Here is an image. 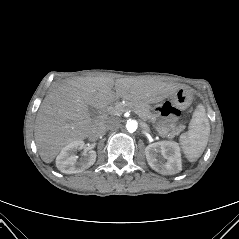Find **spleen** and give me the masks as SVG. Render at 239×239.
<instances>
[{
    "mask_svg": "<svg viewBox=\"0 0 239 239\" xmlns=\"http://www.w3.org/2000/svg\"><path fill=\"white\" fill-rule=\"evenodd\" d=\"M189 128L180 135L179 141L187 160L195 162L204 152L210 136V123L202 104L194 111Z\"/></svg>",
    "mask_w": 239,
    "mask_h": 239,
    "instance_id": "3e777b00",
    "label": "spleen"
}]
</instances>
